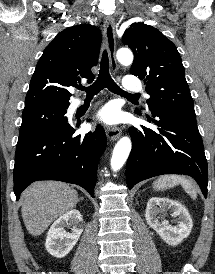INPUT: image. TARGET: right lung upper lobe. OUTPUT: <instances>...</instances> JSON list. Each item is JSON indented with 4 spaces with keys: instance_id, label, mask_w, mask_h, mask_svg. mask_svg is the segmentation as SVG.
<instances>
[{
    "instance_id": "1",
    "label": "right lung upper lobe",
    "mask_w": 215,
    "mask_h": 274,
    "mask_svg": "<svg viewBox=\"0 0 215 274\" xmlns=\"http://www.w3.org/2000/svg\"><path fill=\"white\" fill-rule=\"evenodd\" d=\"M100 30L90 24L64 29L45 48L32 76L25 109L44 105L69 106L74 86L81 78L92 81L91 68L98 62Z\"/></svg>"
}]
</instances>
